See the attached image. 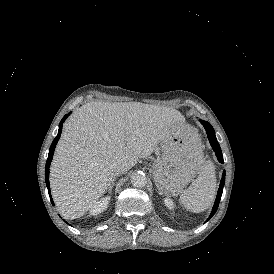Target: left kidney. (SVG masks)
Returning a JSON list of instances; mask_svg holds the SVG:
<instances>
[{"label": "left kidney", "instance_id": "obj_1", "mask_svg": "<svg viewBox=\"0 0 274 274\" xmlns=\"http://www.w3.org/2000/svg\"><path fill=\"white\" fill-rule=\"evenodd\" d=\"M164 204H165V206L168 207L170 210H172V209L175 208V204H174L173 200L170 199V198H168V197H166V198L164 199Z\"/></svg>", "mask_w": 274, "mask_h": 274}]
</instances>
